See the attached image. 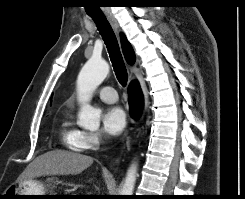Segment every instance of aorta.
Listing matches in <instances>:
<instances>
[{
    "label": "aorta",
    "instance_id": "aorta-1",
    "mask_svg": "<svg viewBox=\"0 0 245 199\" xmlns=\"http://www.w3.org/2000/svg\"><path fill=\"white\" fill-rule=\"evenodd\" d=\"M108 63L102 59L90 58L82 67L77 88L82 106L78 114V124L86 129H97L100 125V111L88 104L91 93L104 81L109 73ZM137 178V163H132L127 170L121 195H133Z\"/></svg>",
    "mask_w": 245,
    "mask_h": 199
}]
</instances>
